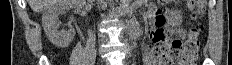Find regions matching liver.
<instances>
[{"label": "liver", "instance_id": "obj_1", "mask_svg": "<svg viewBox=\"0 0 232 65\" xmlns=\"http://www.w3.org/2000/svg\"><path fill=\"white\" fill-rule=\"evenodd\" d=\"M57 0H28V4L34 12H42L53 6Z\"/></svg>", "mask_w": 232, "mask_h": 65}]
</instances>
